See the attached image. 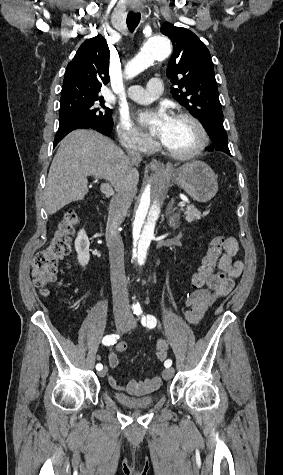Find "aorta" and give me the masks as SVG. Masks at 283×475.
Listing matches in <instances>:
<instances>
[{
    "label": "aorta",
    "instance_id": "obj_1",
    "mask_svg": "<svg viewBox=\"0 0 283 475\" xmlns=\"http://www.w3.org/2000/svg\"><path fill=\"white\" fill-rule=\"evenodd\" d=\"M172 52L170 40L164 36L150 38L140 52L126 65L125 76L131 79L155 61L166 59ZM170 187V180L162 172L153 175L139 196L130 226L132 258L140 268L144 266L156 227L162 217ZM138 307L139 305H134Z\"/></svg>",
    "mask_w": 283,
    "mask_h": 475
}]
</instances>
